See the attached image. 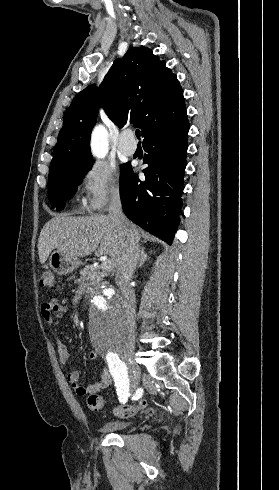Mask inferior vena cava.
<instances>
[{
	"label": "inferior vena cava",
	"mask_w": 279,
	"mask_h": 490,
	"mask_svg": "<svg viewBox=\"0 0 279 490\" xmlns=\"http://www.w3.org/2000/svg\"><path fill=\"white\" fill-rule=\"evenodd\" d=\"M108 218L112 220L114 226L121 228V230L122 228H128L129 226V222L122 212L119 192H116V194H113L112 198H110ZM126 236L122 260L121 262H118V264H115V282L122 296L123 308H125L129 328L130 330H134L136 322V300L134 290H132L130 286V280L138 264L140 250L138 240L130 230H126Z\"/></svg>",
	"instance_id": "1"
}]
</instances>
